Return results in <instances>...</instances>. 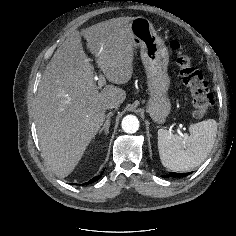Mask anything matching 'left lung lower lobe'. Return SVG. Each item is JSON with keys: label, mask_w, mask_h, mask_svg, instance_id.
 <instances>
[{"label": "left lung lower lobe", "mask_w": 236, "mask_h": 236, "mask_svg": "<svg viewBox=\"0 0 236 236\" xmlns=\"http://www.w3.org/2000/svg\"><path fill=\"white\" fill-rule=\"evenodd\" d=\"M190 173H170L168 175H165L163 177H184V176H187L189 175Z\"/></svg>", "instance_id": "1"}]
</instances>
